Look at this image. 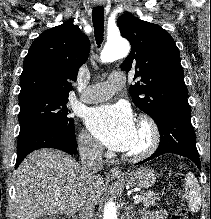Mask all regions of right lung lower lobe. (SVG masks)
Listing matches in <instances>:
<instances>
[{"instance_id": "1", "label": "right lung lower lobe", "mask_w": 211, "mask_h": 219, "mask_svg": "<svg viewBox=\"0 0 211 219\" xmlns=\"http://www.w3.org/2000/svg\"><path fill=\"white\" fill-rule=\"evenodd\" d=\"M40 148H56L69 154L77 151L75 130L55 125H37L19 133L15 168L32 151Z\"/></svg>"}]
</instances>
